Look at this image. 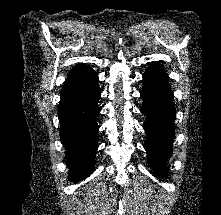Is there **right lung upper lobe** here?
<instances>
[{
    "mask_svg": "<svg viewBox=\"0 0 221 215\" xmlns=\"http://www.w3.org/2000/svg\"><path fill=\"white\" fill-rule=\"evenodd\" d=\"M88 69H91V68L85 66L84 64L78 65L75 69H73V70L71 71L70 76H71V75H74V74H77V73H80V72H82V71L88 70Z\"/></svg>",
    "mask_w": 221,
    "mask_h": 215,
    "instance_id": "obj_1",
    "label": "right lung upper lobe"
}]
</instances>
